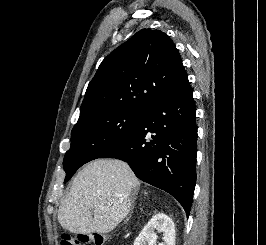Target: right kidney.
Returning <instances> with one entry per match:
<instances>
[{
  "mask_svg": "<svg viewBox=\"0 0 266 245\" xmlns=\"http://www.w3.org/2000/svg\"><path fill=\"white\" fill-rule=\"evenodd\" d=\"M156 231L164 235V243H159V245H175L174 223L164 213H157L150 219L149 223L142 229L139 237H136L134 245H156Z\"/></svg>",
  "mask_w": 266,
  "mask_h": 245,
  "instance_id": "obj_1",
  "label": "right kidney"
}]
</instances>
